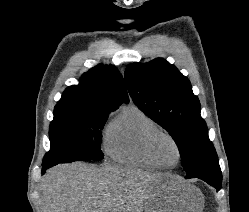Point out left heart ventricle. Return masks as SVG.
I'll use <instances>...</instances> for the list:
<instances>
[{
    "label": "left heart ventricle",
    "mask_w": 249,
    "mask_h": 212,
    "mask_svg": "<svg viewBox=\"0 0 249 212\" xmlns=\"http://www.w3.org/2000/svg\"><path fill=\"white\" fill-rule=\"evenodd\" d=\"M156 150L159 158L163 162L168 164H175L177 162V151L170 140L166 138L159 140Z\"/></svg>",
    "instance_id": "obj_1"
}]
</instances>
